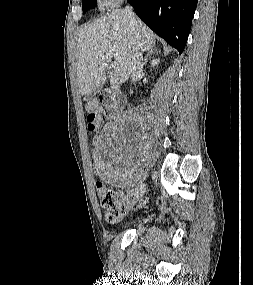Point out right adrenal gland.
Here are the masks:
<instances>
[{"mask_svg": "<svg viewBox=\"0 0 253 285\" xmlns=\"http://www.w3.org/2000/svg\"><path fill=\"white\" fill-rule=\"evenodd\" d=\"M160 51L158 49H155L154 46H151L148 48L147 50V54L145 56L144 62H143V66H145L148 62V57L154 53H159Z\"/></svg>", "mask_w": 253, "mask_h": 285, "instance_id": "right-adrenal-gland-1", "label": "right adrenal gland"}]
</instances>
